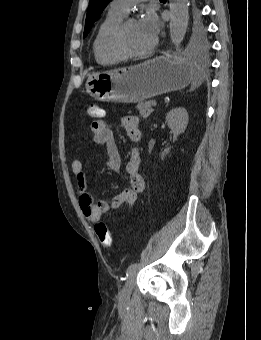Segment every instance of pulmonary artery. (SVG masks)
Returning a JSON list of instances; mask_svg holds the SVG:
<instances>
[{
  "label": "pulmonary artery",
  "mask_w": 261,
  "mask_h": 340,
  "mask_svg": "<svg viewBox=\"0 0 261 340\" xmlns=\"http://www.w3.org/2000/svg\"><path fill=\"white\" fill-rule=\"evenodd\" d=\"M140 0H114L110 4V9L117 11L123 15H127L131 6L138 3Z\"/></svg>",
  "instance_id": "obj_1"
}]
</instances>
